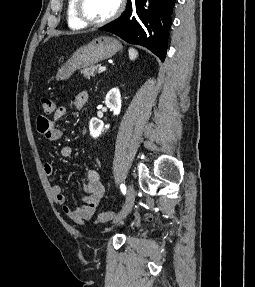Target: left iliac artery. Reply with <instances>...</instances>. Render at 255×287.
<instances>
[{
    "instance_id": "obj_1",
    "label": "left iliac artery",
    "mask_w": 255,
    "mask_h": 287,
    "mask_svg": "<svg viewBox=\"0 0 255 287\" xmlns=\"http://www.w3.org/2000/svg\"><path fill=\"white\" fill-rule=\"evenodd\" d=\"M122 193L125 195L126 194V186L124 184H121L120 186Z\"/></svg>"
}]
</instances>
